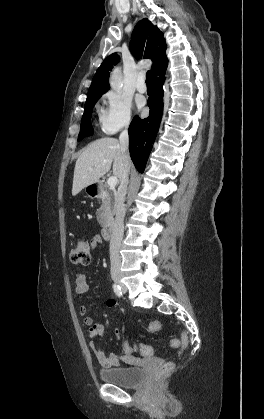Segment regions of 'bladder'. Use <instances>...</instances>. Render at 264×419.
<instances>
[{
    "mask_svg": "<svg viewBox=\"0 0 264 419\" xmlns=\"http://www.w3.org/2000/svg\"><path fill=\"white\" fill-rule=\"evenodd\" d=\"M102 381L119 387L137 386L144 378L145 370L141 366H123L102 369L99 373Z\"/></svg>",
    "mask_w": 264,
    "mask_h": 419,
    "instance_id": "obj_1",
    "label": "bladder"
}]
</instances>
